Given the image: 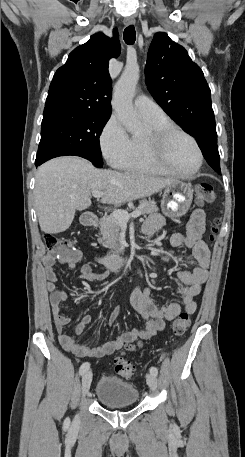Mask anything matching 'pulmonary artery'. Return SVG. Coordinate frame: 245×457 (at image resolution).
<instances>
[{
  "label": "pulmonary artery",
  "mask_w": 245,
  "mask_h": 457,
  "mask_svg": "<svg viewBox=\"0 0 245 457\" xmlns=\"http://www.w3.org/2000/svg\"><path fill=\"white\" fill-rule=\"evenodd\" d=\"M145 95L141 94L133 101L135 109L145 119L157 118L164 115L162 108L150 100H145Z\"/></svg>",
  "instance_id": "1"
}]
</instances>
